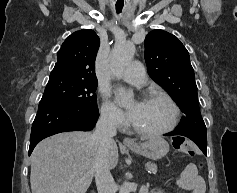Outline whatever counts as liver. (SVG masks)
<instances>
[{
    "label": "liver",
    "mask_w": 237,
    "mask_h": 193,
    "mask_svg": "<svg viewBox=\"0 0 237 193\" xmlns=\"http://www.w3.org/2000/svg\"><path fill=\"white\" fill-rule=\"evenodd\" d=\"M91 132H64L41 141L31 155L32 193H86L95 174V141ZM116 167L118 147L111 141L106 155Z\"/></svg>",
    "instance_id": "6515ba94"
}]
</instances>
